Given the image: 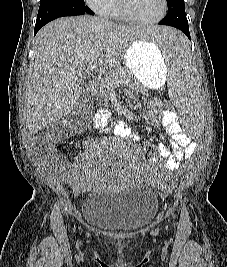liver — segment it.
I'll return each mask as SVG.
<instances>
[{
  "mask_svg": "<svg viewBox=\"0 0 227 267\" xmlns=\"http://www.w3.org/2000/svg\"><path fill=\"white\" fill-rule=\"evenodd\" d=\"M133 27L85 15L57 19L38 32L26 91V126L31 134L75 107L82 90L77 75L92 61L109 72L119 68L121 55L140 33H146Z\"/></svg>",
  "mask_w": 227,
  "mask_h": 267,
  "instance_id": "6515ba94",
  "label": "liver"
}]
</instances>
